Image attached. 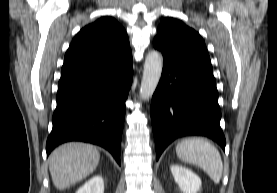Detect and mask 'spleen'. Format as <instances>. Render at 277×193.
Masks as SVG:
<instances>
[{"instance_id":"obj_1","label":"spleen","mask_w":277,"mask_h":193,"mask_svg":"<svg viewBox=\"0 0 277 193\" xmlns=\"http://www.w3.org/2000/svg\"><path fill=\"white\" fill-rule=\"evenodd\" d=\"M176 154L183 162L202 168L214 183L220 182L223 172L221 155L207 140L198 137L183 139L176 146Z\"/></svg>"}]
</instances>
